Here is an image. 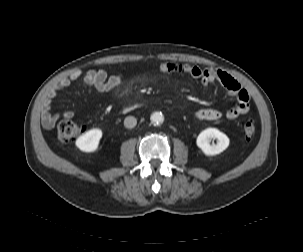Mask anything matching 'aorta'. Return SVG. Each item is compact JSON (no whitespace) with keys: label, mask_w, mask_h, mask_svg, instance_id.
Here are the masks:
<instances>
[{"label":"aorta","mask_w":303,"mask_h":252,"mask_svg":"<svg viewBox=\"0 0 303 252\" xmlns=\"http://www.w3.org/2000/svg\"><path fill=\"white\" fill-rule=\"evenodd\" d=\"M151 122L152 124L154 125H159V124H162L163 121H164V116L161 112H154L151 117Z\"/></svg>","instance_id":"obj_1"}]
</instances>
